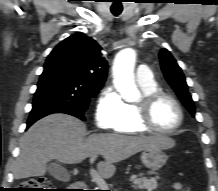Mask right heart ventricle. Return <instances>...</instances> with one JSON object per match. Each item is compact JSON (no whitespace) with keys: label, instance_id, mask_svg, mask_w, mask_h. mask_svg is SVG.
Segmentation results:
<instances>
[{"label":"right heart ventricle","instance_id":"e07e8e85","mask_svg":"<svg viewBox=\"0 0 218 191\" xmlns=\"http://www.w3.org/2000/svg\"><path fill=\"white\" fill-rule=\"evenodd\" d=\"M143 93L158 90L155 82L149 84H139ZM114 130L123 134H143L148 130L141 126L138 121L136 104L124 103L122 117Z\"/></svg>","mask_w":218,"mask_h":191}]
</instances>
